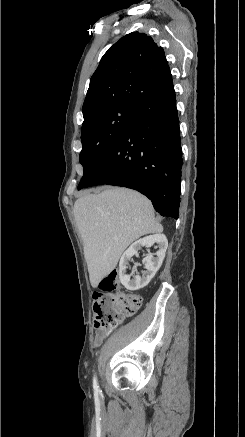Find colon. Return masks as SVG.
Returning <instances> with one entry per match:
<instances>
[{
  "label": "colon",
  "instance_id": "5ec220e1",
  "mask_svg": "<svg viewBox=\"0 0 245 437\" xmlns=\"http://www.w3.org/2000/svg\"><path fill=\"white\" fill-rule=\"evenodd\" d=\"M118 271L113 270L99 283L94 293V325L98 335H107L116 328L125 316L136 313L142 305L138 294L120 291Z\"/></svg>",
  "mask_w": 245,
  "mask_h": 437
}]
</instances>
